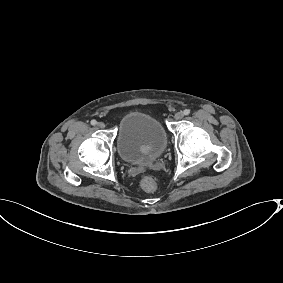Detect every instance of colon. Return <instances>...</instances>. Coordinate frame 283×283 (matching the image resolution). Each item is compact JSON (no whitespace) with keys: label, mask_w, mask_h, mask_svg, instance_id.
<instances>
[{"label":"colon","mask_w":283,"mask_h":283,"mask_svg":"<svg viewBox=\"0 0 283 283\" xmlns=\"http://www.w3.org/2000/svg\"><path fill=\"white\" fill-rule=\"evenodd\" d=\"M140 185L144 191L150 193L156 191L157 189L156 181L151 176L148 175L142 177L140 181Z\"/></svg>","instance_id":"obj_1"}]
</instances>
